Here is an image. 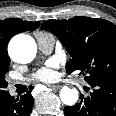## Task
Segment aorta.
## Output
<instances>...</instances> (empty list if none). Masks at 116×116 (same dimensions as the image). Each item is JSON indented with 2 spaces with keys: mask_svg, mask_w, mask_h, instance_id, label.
<instances>
[{
  "mask_svg": "<svg viewBox=\"0 0 116 116\" xmlns=\"http://www.w3.org/2000/svg\"><path fill=\"white\" fill-rule=\"evenodd\" d=\"M8 50L15 62L23 64L31 62L37 52L34 39L24 34L12 38ZM60 98L65 105L72 106L78 100V91L75 88L64 86L60 91Z\"/></svg>",
  "mask_w": 116,
  "mask_h": 116,
  "instance_id": "762f6f07",
  "label": "aorta"
}]
</instances>
